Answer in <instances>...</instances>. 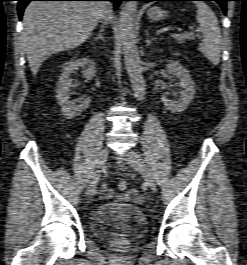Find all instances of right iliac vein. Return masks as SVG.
Returning a JSON list of instances; mask_svg holds the SVG:
<instances>
[{
    "label": "right iliac vein",
    "instance_id": "right-iliac-vein-1",
    "mask_svg": "<svg viewBox=\"0 0 247 265\" xmlns=\"http://www.w3.org/2000/svg\"><path fill=\"white\" fill-rule=\"evenodd\" d=\"M109 155V150L108 148H103L98 156V160H97V173L100 174V172L103 170L105 163L107 161ZM95 193V189L94 187H92L91 185H89L87 191H86V195L87 196H92Z\"/></svg>",
    "mask_w": 247,
    "mask_h": 265
}]
</instances>
